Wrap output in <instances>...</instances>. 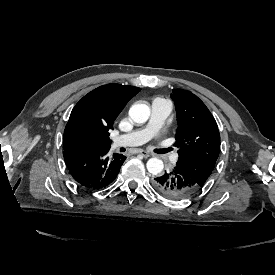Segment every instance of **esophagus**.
<instances>
[{"instance_id":"esophagus-1","label":"esophagus","mask_w":275,"mask_h":275,"mask_svg":"<svg viewBox=\"0 0 275 275\" xmlns=\"http://www.w3.org/2000/svg\"><path fill=\"white\" fill-rule=\"evenodd\" d=\"M138 153L141 154L144 158H149L151 156V154L145 150H140Z\"/></svg>"}]
</instances>
